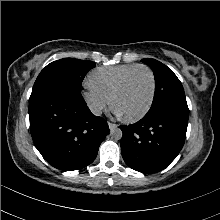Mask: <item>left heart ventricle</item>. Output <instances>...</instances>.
I'll return each instance as SVG.
<instances>
[{
  "mask_svg": "<svg viewBox=\"0 0 220 220\" xmlns=\"http://www.w3.org/2000/svg\"><path fill=\"white\" fill-rule=\"evenodd\" d=\"M152 90V81L149 73L144 69L136 70L129 78L124 90L115 101V109L122 116L132 117L148 104Z\"/></svg>",
  "mask_w": 220,
  "mask_h": 220,
  "instance_id": "b2bd125f",
  "label": "left heart ventricle"
}]
</instances>
